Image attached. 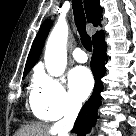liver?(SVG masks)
Listing matches in <instances>:
<instances>
[{"instance_id": "liver-1", "label": "liver", "mask_w": 136, "mask_h": 136, "mask_svg": "<svg viewBox=\"0 0 136 136\" xmlns=\"http://www.w3.org/2000/svg\"><path fill=\"white\" fill-rule=\"evenodd\" d=\"M47 133L50 136H56L58 134L53 127L48 128L46 125L37 123L23 126L15 136H46Z\"/></svg>"}]
</instances>
